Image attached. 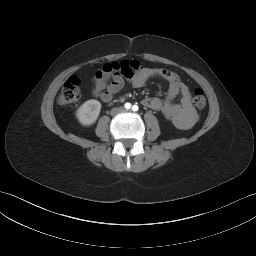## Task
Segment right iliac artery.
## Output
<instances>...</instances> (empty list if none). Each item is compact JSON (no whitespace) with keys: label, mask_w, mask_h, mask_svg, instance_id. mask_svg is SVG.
Returning <instances> with one entry per match:
<instances>
[{"label":"right iliac artery","mask_w":256,"mask_h":256,"mask_svg":"<svg viewBox=\"0 0 256 256\" xmlns=\"http://www.w3.org/2000/svg\"><path fill=\"white\" fill-rule=\"evenodd\" d=\"M124 107H125L126 109H130V108H131V104H130V103H125Z\"/></svg>","instance_id":"right-iliac-artery-1"}]
</instances>
